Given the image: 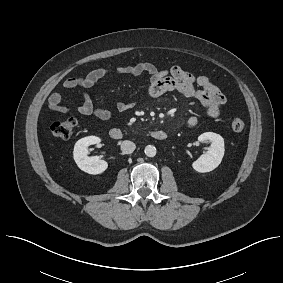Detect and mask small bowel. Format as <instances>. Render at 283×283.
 I'll list each match as a JSON object with an SVG mask.
<instances>
[{
	"mask_svg": "<svg viewBox=\"0 0 283 283\" xmlns=\"http://www.w3.org/2000/svg\"><path fill=\"white\" fill-rule=\"evenodd\" d=\"M146 75L149 77L147 94L152 98L160 97L167 92L177 91L202 104L209 117L219 116L221 107L226 103V97L208 76H195L178 65L172 66L168 71L160 70L152 63L102 67L91 71L83 77L67 78L62 85L68 90L76 88L89 89L105 77L129 76L142 78ZM133 106V101H118L115 105L119 112H125ZM48 107L50 110L61 114H67L72 111L70 106L64 104L63 97L59 92L50 94ZM75 110L82 115L93 114L104 121L109 120L112 115L110 110L97 106L86 93L82 94V102L75 107ZM198 122V117L191 115L188 117L186 124L189 128H194Z\"/></svg>",
	"mask_w": 283,
	"mask_h": 283,
	"instance_id": "1",
	"label": "small bowel"
}]
</instances>
